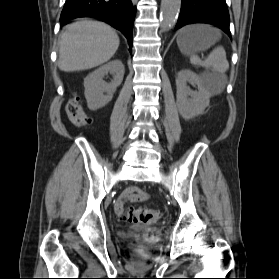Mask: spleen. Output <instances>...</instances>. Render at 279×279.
<instances>
[{
  "instance_id": "obj_1",
  "label": "spleen",
  "mask_w": 279,
  "mask_h": 279,
  "mask_svg": "<svg viewBox=\"0 0 279 279\" xmlns=\"http://www.w3.org/2000/svg\"><path fill=\"white\" fill-rule=\"evenodd\" d=\"M190 62L194 65H201L206 68H212L217 73L219 80L209 84V90L212 94H220L223 92L226 85L225 72L229 68V63L226 59V52L222 46H218L211 51L208 58L202 61L197 55L190 57Z\"/></svg>"
}]
</instances>
